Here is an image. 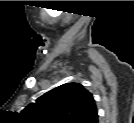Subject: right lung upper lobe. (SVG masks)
<instances>
[{
  "label": "right lung upper lobe",
  "mask_w": 134,
  "mask_h": 123,
  "mask_svg": "<svg viewBox=\"0 0 134 123\" xmlns=\"http://www.w3.org/2000/svg\"><path fill=\"white\" fill-rule=\"evenodd\" d=\"M22 114L33 123H98L94 98L79 83H66L48 91Z\"/></svg>",
  "instance_id": "cb5924a9"
}]
</instances>
